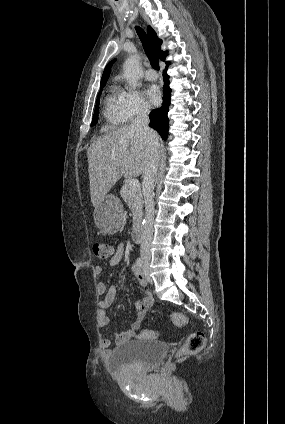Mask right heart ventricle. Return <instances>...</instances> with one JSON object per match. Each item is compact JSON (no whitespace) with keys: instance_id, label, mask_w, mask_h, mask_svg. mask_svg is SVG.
I'll return each mask as SVG.
<instances>
[{"instance_id":"obj_1","label":"right heart ventricle","mask_w":285,"mask_h":424,"mask_svg":"<svg viewBox=\"0 0 285 424\" xmlns=\"http://www.w3.org/2000/svg\"><path fill=\"white\" fill-rule=\"evenodd\" d=\"M102 117L104 130L115 129L126 122L120 101V91L115 85L109 88V92L104 97Z\"/></svg>"}]
</instances>
